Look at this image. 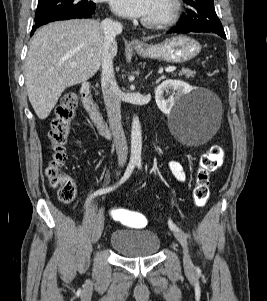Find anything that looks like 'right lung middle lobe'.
Listing matches in <instances>:
<instances>
[{
	"label": "right lung middle lobe",
	"instance_id": "right-lung-middle-lobe-1",
	"mask_svg": "<svg viewBox=\"0 0 267 301\" xmlns=\"http://www.w3.org/2000/svg\"><path fill=\"white\" fill-rule=\"evenodd\" d=\"M96 9V4L89 0H38L35 20L56 12L81 13Z\"/></svg>",
	"mask_w": 267,
	"mask_h": 301
}]
</instances>
